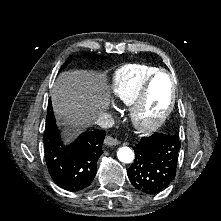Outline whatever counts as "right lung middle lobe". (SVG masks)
<instances>
[{"label": "right lung middle lobe", "instance_id": "right-lung-middle-lobe-1", "mask_svg": "<svg viewBox=\"0 0 221 221\" xmlns=\"http://www.w3.org/2000/svg\"><path fill=\"white\" fill-rule=\"evenodd\" d=\"M94 57H98V55H95ZM103 58V56H102ZM71 61V57L68 58V60L65 62V64L62 66V69Z\"/></svg>", "mask_w": 221, "mask_h": 221}]
</instances>
